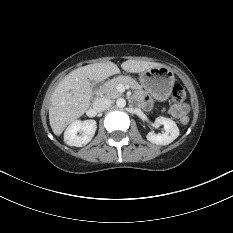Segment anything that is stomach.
Masks as SVG:
<instances>
[{
  "label": "stomach",
  "instance_id": "stomach-1",
  "mask_svg": "<svg viewBox=\"0 0 233 233\" xmlns=\"http://www.w3.org/2000/svg\"><path fill=\"white\" fill-rule=\"evenodd\" d=\"M142 87L156 100L165 101L171 95L175 76L174 72L165 67H154L140 74Z\"/></svg>",
  "mask_w": 233,
  "mask_h": 233
}]
</instances>
